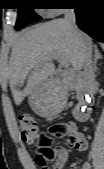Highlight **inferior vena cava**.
Here are the masks:
<instances>
[{"label": "inferior vena cava", "mask_w": 104, "mask_h": 169, "mask_svg": "<svg viewBox=\"0 0 104 169\" xmlns=\"http://www.w3.org/2000/svg\"><path fill=\"white\" fill-rule=\"evenodd\" d=\"M64 20L72 32L73 35H78V29L76 26V15L74 9H66ZM83 54V75L86 77L88 84L92 89L96 88V80L94 74V66L92 63V51L88 46H84Z\"/></svg>", "instance_id": "1"}]
</instances>
